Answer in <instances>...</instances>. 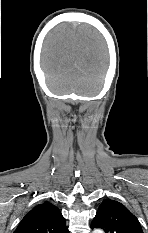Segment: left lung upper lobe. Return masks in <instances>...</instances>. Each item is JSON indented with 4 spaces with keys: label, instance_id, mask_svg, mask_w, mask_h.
Here are the masks:
<instances>
[{
    "label": "left lung upper lobe",
    "instance_id": "1",
    "mask_svg": "<svg viewBox=\"0 0 148 233\" xmlns=\"http://www.w3.org/2000/svg\"><path fill=\"white\" fill-rule=\"evenodd\" d=\"M91 228L105 233H143L138 219L120 202L106 199L98 208Z\"/></svg>",
    "mask_w": 148,
    "mask_h": 233
}]
</instances>
